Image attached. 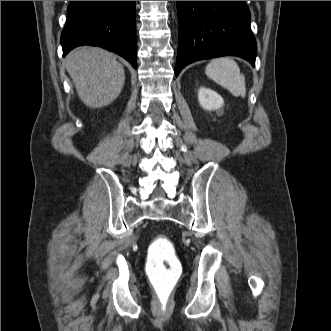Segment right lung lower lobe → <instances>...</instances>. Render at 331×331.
I'll use <instances>...</instances> for the list:
<instances>
[{
    "instance_id": "obj_1",
    "label": "right lung lower lobe",
    "mask_w": 331,
    "mask_h": 331,
    "mask_svg": "<svg viewBox=\"0 0 331 331\" xmlns=\"http://www.w3.org/2000/svg\"><path fill=\"white\" fill-rule=\"evenodd\" d=\"M61 44L63 56L77 46H99L136 68L135 1H70Z\"/></svg>"
}]
</instances>
